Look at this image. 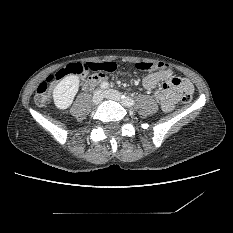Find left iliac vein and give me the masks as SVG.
<instances>
[{
	"mask_svg": "<svg viewBox=\"0 0 233 233\" xmlns=\"http://www.w3.org/2000/svg\"><path fill=\"white\" fill-rule=\"evenodd\" d=\"M104 97L106 99L114 100L117 102H121V94L116 90H107L104 92Z\"/></svg>",
	"mask_w": 233,
	"mask_h": 233,
	"instance_id": "1",
	"label": "left iliac vein"
}]
</instances>
